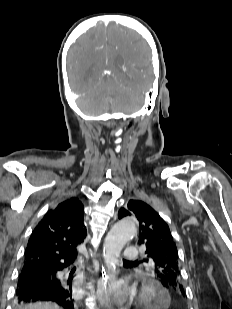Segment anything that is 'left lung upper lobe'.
I'll list each match as a JSON object with an SVG mask.
<instances>
[{
    "label": "left lung upper lobe",
    "mask_w": 232,
    "mask_h": 309,
    "mask_svg": "<svg viewBox=\"0 0 232 309\" xmlns=\"http://www.w3.org/2000/svg\"><path fill=\"white\" fill-rule=\"evenodd\" d=\"M131 215L140 224L138 244L145 250L143 261L155 267L163 286L175 295H184L180 285L178 250L168 225L153 208L139 200H130L127 207L118 212L119 219Z\"/></svg>",
    "instance_id": "left-lung-upper-lobe-1"
}]
</instances>
